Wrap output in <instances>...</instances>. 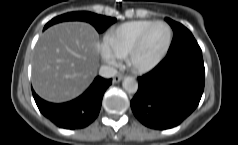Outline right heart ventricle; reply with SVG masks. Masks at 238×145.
<instances>
[{
  "mask_svg": "<svg viewBox=\"0 0 238 145\" xmlns=\"http://www.w3.org/2000/svg\"><path fill=\"white\" fill-rule=\"evenodd\" d=\"M152 22L154 21L135 20L114 27L103 36V45L117 58L123 59L139 35Z\"/></svg>",
  "mask_w": 238,
  "mask_h": 145,
  "instance_id": "obj_1",
  "label": "right heart ventricle"
}]
</instances>
